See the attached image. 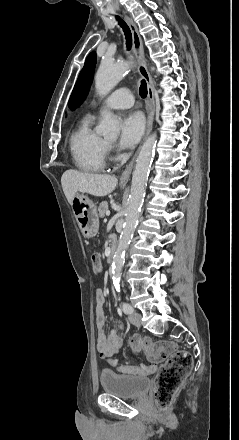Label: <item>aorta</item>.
<instances>
[{
  "mask_svg": "<svg viewBox=\"0 0 239 440\" xmlns=\"http://www.w3.org/2000/svg\"><path fill=\"white\" fill-rule=\"evenodd\" d=\"M130 64H113L112 60H102L97 74L95 76V88L98 96H107L121 80H123ZM103 120L100 126H96V134L104 136V138H118L119 136V120L112 112L104 110L102 112ZM156 142V134H152L141 146V150L137 156L135 170L132 176L131 190L128 206L126 208V218L122 234L118 240L117 250L113 256L112 262V280L120 282L122 268L125 264V254L129 246V242L134 234L135 226L140 216L147 178L149 176L150 164L153 158L154 146Z\"/></svg>",
  "mask_w": 239,
  "mask_h": 440,
  "instance_id": "aorta-1",
  "label": "aorta"
}]
</instances>
